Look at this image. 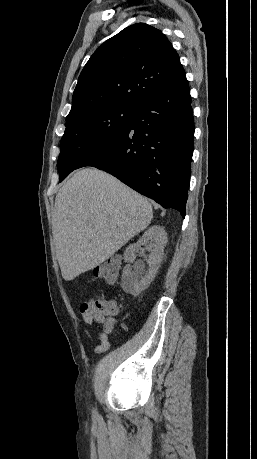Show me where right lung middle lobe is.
<instances>
[{
    "instance_id": "right-lung-middle-lobe-1",
    "label": "right lung middle lobe",
    "mask_w": 257,
    "mask_h": 459,
    "mask_svg": "<svg viewBox=\"0 0 257 459\" xmlns=\"http://www.w3.org/2000/svg\"><path fill=\"white\" fill-rule=\"evenodd\" d=\"M136 107L100 109L66 125L57 168L60 181L87 158L115 140L128 127Z\"/></svg>"
}]
</instances>
